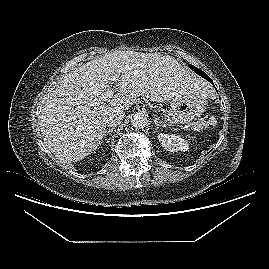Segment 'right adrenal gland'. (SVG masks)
<instances>
[{"instance_id": "2a0ac1e0", "label": "right adrenal gland", "mask_w": 269, "mask_h": 269, "mask_svg": "<svg viewBox=\"0 0 269 269\" xmlns=\"http://www.w3.org/2000/svg\"><path fill=\"white\" fill-rule=\"evenodd\" d=\"M115 128H110L109 130H106L105 133H104V138L107 136V135H111V133L114 131ZM108 142V141H107Z\"/></svg>"}]
</instances>
